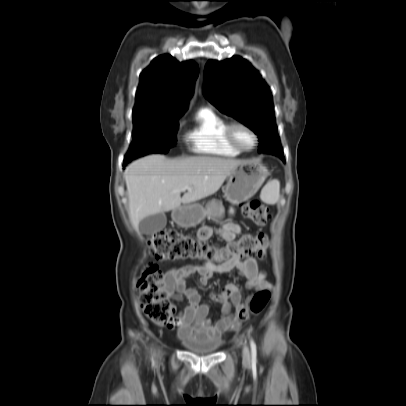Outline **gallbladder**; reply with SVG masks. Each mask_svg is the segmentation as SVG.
Masks as SVG:
<instances>
[{
    "instance_id": "obj_1",
    "label": "gallbladder",
    "mask_w": 406,
    "mask_h": 406,
    "mask_svg": "<svg viewBox=\"0 0 406 406\" xmlns=\"http://www.w3.org/2000/svg\"><path fill=\"white\" fill-rule=\"evenodd\" d=\"M167 223L164 212L150 215L142 219L139 223V230L144 234H154L163 230Z\"/></svg>"
}]
</instances>
